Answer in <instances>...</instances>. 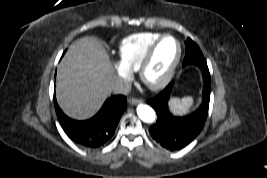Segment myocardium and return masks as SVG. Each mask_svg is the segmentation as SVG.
<instances>
[{
    "instance_id": "obj_1",
    "label": "myocardium",
    "mask_w": 267,
    "mask_h": 178,
    "mask_svg": "<svg viewBox=\"0 0 267 178\" xmlns=\"http://www.w3.org/2000/svg\"><path fill=\"white\" fill-rule=\"evenodd\" d=\"M167 38H172L176 42L177 47H178L177 55H176L172 65H171V67L169 68V70L165 74V76L161 80H159L158 82L151 83L146 79V70H147L149 64L151 63L157 48L162 43V41L167 39ZM182 54H183L182 45H181V42L179 41V39L177 37H175L172 34H164L161 37H159L149 47V49L147 50V52L145 53L144 57L142 58V60L139 64L138 74H139V78L142 81V83L146 87H148L150 90H153V91L163 89L172 80V78H173V76H174V74H175V72H176V70L180 64Z\"/></svg>"
}]
</instances>
